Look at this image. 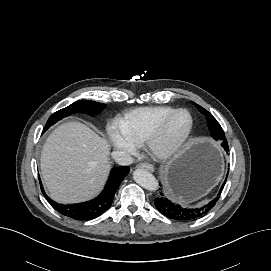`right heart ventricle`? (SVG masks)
Masks as SVG:
<instances>
[{"label": "right heart ventricle", "instance_id": "e07e8e85", "mask_svg": "<svg viewBox=\"0 0 271 271\" xmlns=\"http://www.w3.org/2000/svg\"><path fill=\"white\" fill-rule=\"evenodd\" d=\"M174 110L170 106L133 109L120 119V130L136 146L141 145Z\"/></svg>", "mask_w": 271, "mask_h": 271}]
</instances>
